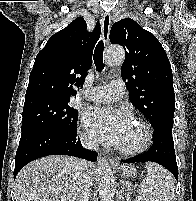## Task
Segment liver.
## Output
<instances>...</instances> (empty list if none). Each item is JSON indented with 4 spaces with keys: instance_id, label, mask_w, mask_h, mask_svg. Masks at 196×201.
Returning <instances> with one entry per match:
<instances>
[{
    "instance_id": "6515ba94",
    "label": "liver",
    "mask_w": 196,
    "mask_h": 201,
    "mask_svg": "<svg viewBox=\"0 0 196 201\" xmlns=\"http://www.w3.org/2000/svg\"><path fill=\"white\" fill-rule=\"evenodd\" d=\"M78 160L52 155L27 164L16 176V201H74V169ZM88 176L93 180L94 166L88 163Z\"/></svg>"
}]
</instances>
